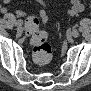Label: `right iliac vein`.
I'll return each mask as SVG.
<instances>
[{
    "instance_id": "obj_1",
    "label": "right iliac vein",
    "mask_w": 91,
    "mask_h": 91,
    "mask_svg": "<svg viewBox=\"0 0 91 91\" xmlns=\"http://www.w3.org/2000/svg\"><path fill=\"white\" fill-rule=\"evenodd\" d=\"M23 31L22 26H17V32L21 33Z\"/></svg>"
}]
</instances>
